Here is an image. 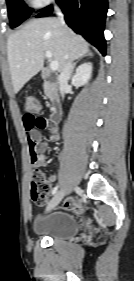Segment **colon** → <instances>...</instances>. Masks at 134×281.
Here are the masks:
<instances>
[{"label": "colon", "instance_id": "5ec220e1", "mask_svg": "<svg viewBox=\"0 0 134 281\" xmlns=\"http://www.w3.org/2000/svg\"><path fill=\"white\" fill-rule=\"evenodd\" d=\"M25 106L29 112H37L39 109V103L34 97H28ZM50 190L51 186L49 182L44 178L43 173L39 169H36L30 182V196L32 201L38 205H43L48 199ZM65 207L79 214L84 212L83 205L74 199L66 200Z\"/></svg>", "mask_w": 134, "mask_h": 281}]
</instances>
